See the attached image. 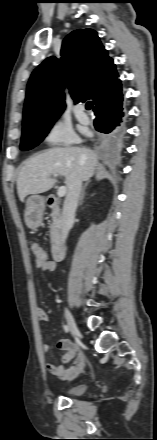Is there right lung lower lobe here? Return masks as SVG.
<instances>
[{
    "mask_svg": "<svg viewBox=\"0 0 157 440\" xmlns=\"http://www.w3.org/2000/svg\"><path fill=\"white\" fill-rule=\"evenodd\" d=\"M94 113L96 115L94 126L97 131L106 134V138H117L123 133L125 113L122 93L111 97Z\"/></svg>",
    "mask_w": 157,
    "mask_h": 440,
    "instance_id": "obj_1",
    "label": "right lung lower lobe"
}]
</instances>
